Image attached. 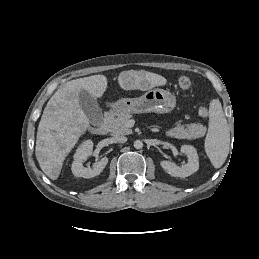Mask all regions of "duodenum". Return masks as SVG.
Listing matches in <instances>:
<instances>
[{"mask_svg": "<svg viewBox=\"0 0 259 259\" xmlns=\"http://www.w3.org/2000/svg\"><path fill=\"white\" fill-rule=\"evenodd\" d=\"M112 115V110L107 111L104 116V121L99 124L90 126V132L96 135H104L107 132V121L112 117Z\"/></svg>", "mask_w": 259, "mask_h": 259, "instance_id": "duodenum-1", "label": "duodenum"}]
</instances>
